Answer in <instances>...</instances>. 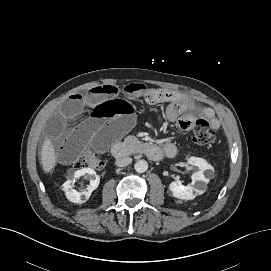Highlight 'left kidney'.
Wrapping results in <instances>:
<instances>
[{
	"label": "left kidney",
	"instance_id": "1",
	"mask_svg": "<svg viewBox=\"0 0 271 271\" xmlns=\"http://www.w3.org/2000/svg\"><path fill=\"white\" fill-rule=\"evenodd\" d=\"M188 163L197 166L199 171L192 175V186H184L180 181H174L169 185L173 196L178 199L191 200L194 197L193 192H200V189L205 187V184L210 180L209 177L205 176L204 172L213 170V167L202 158L190 157Z\"/></svg>",
	"mask_w": 271,
	"mask_h": 271
}]
</instances>
